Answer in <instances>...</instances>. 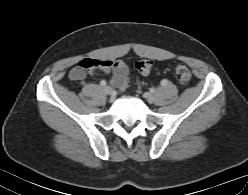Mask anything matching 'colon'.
I'll return each instance as SVG.
<instances>
[{"label": "colon", "mask_w": 248, "mask_h": 195, "mask_svg": "<svg viewBox=\"0 0 248 195\" xmlns=\"http://www.w3.org/2000/svg\"><path fill=\"white\" fill-rule=\"evenodd\" d=\"M136 67H137V70L142 75H147L151 71L152 61L147 60V59L140 60L137 62ZM93 68H95L93 61L91 59H85V60L80 61L75 67L72 68L69 76L72 80H81ZM175 77L181 85H186L191 80V72L185 64L179 63L175 67ZM128 83H129V80L127 76L123 77L118 82V88L120 90H124L127 88Z\"/></svg>", "instance_id": "obj_1"}]
</instances>
